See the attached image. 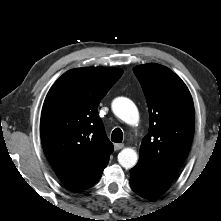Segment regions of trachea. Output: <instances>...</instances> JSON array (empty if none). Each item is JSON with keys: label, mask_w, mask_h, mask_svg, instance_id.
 Returning <instances> with one entry per match:
<instances>
[{"label": "trachea", "mask_w": 221, "mask_h": 221, "mask_svg": "<svg viewBox=\"0 0 221 221\" xmlns=\"http://www.w3.org/2000/svg\"><path fill=\"white\" fill-rule=\"evenodd\" d=\"M111 140L115 143H121L123 140V133L120 128H116L113 130L111 135Z\"/></svg>", "instance_id": "trachea-1"}]
</instances>
